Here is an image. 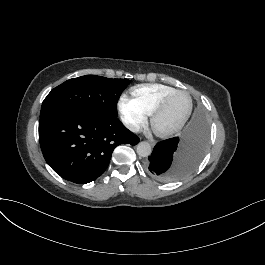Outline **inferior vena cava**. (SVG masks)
I'll use <instances>...</instances> for the list:
<instances>
[{"label":"inferior vena cava","instance_id":"1","mask_svg":"<svg viewBox=\"0 0 265 265\" xmlns=\"http://www.w3.org/2000/svg\"><path fill=\"white\" fill-rule=\"evenodd\" d=\"M125 126L132 132H138L140 130L139 124L126 123Z\"/></svg>","mask_w":265,"mask_h":265}]
</instances>
